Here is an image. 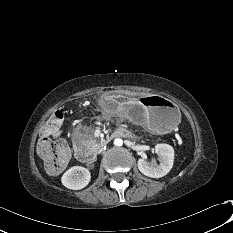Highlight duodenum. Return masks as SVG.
I'll return each mask as SVG.
<instances>
[{
  "label": "duodenum",
  "mask_w": 233,
  "mask_h": 233,
  "mask_svg": "<svg viewBox=\"0 0 233 233\" xmlns=\"http://www.w3.org/2000/svg\"><path fill=\"white\" fill-rule=\"evenodd\" d=\"M114 136L127 137L128 132L123 129H118ZM76 157L81 162H90L94 159V153L91 150L86 149L80 145L75 147Z\"/></svg>",
  "instance_id": "obj_1"
}]
</instances>
